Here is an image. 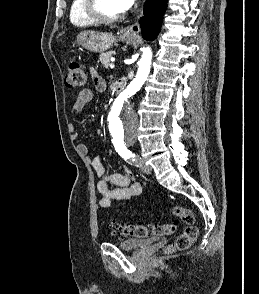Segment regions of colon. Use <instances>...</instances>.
Instances as JSON below:
<instances>
[{
  "instance_id": "5ec220e1",
  "label": "colon",
  "mask_w": 259,
  "mask_h": 294,
  "mask_svg": "<svg viewBox=\"0 0 259 294\" xmlns=\"http://www.w3.org/2000/svg\"><path fill=\"white\" fill-rule=\"evenodd\" d=\"M86 81L87 74L81 62L77 60L71 61L68 66V71L65 75L66 87H82L86 84ZM172 213L186 226L177 236L174 242L168 245L165 250L166 252L183 251L188 249L198 236V228L195 226V217L189 208L183 206H174ZM111 225L113 231L119 236L149 238L154 236L173 234L177 230L178 221L167 224H141L113 220Z\"/></svg>"
}]
</instances>
